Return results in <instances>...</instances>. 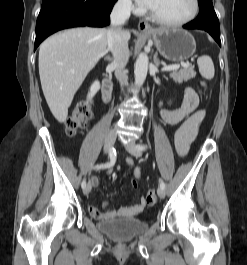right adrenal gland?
<instances>
[{"label": "right adrenal gland", "instance_id": "1", "mask_svg": "<svg viewBox=\"0 0 247 265\" xmlns=\"http://www.w3.org/2000/svg\"><path fill=\"white\" fill-rule=\"evenodd\" d=\"M104 60H106L108 62H112L113 58L111 56L107 55V56L104 57Z\"/></svg>", "mask_w": 247, "mask_h": 265}]
</instances>
